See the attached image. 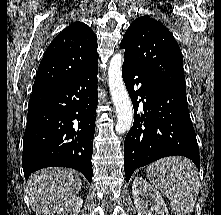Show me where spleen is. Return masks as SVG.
Listing matches in <instances>:
<instances>
[{
	"instance_id": "1",
	"label": "spleen",
	"mask_w": 221,
	"mask_h": 215,
	"mask_svg": "<svg viewBox=\"0 0 221 215\" xmlns=\"http://www.w3.org/2000/svg\"><path fill=\"white\" fill-rule=\"evenodd\" d=\"M149 181L170 200L174 215H190L199 192V175L191 160L171 156L150 164Z\"/></svg>"
}]
</instances>
